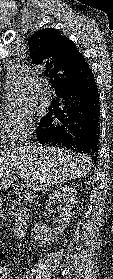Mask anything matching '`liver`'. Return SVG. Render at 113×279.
Segmentation results:
<instances>
[{
	"label": "liver",
	"mask_w": 113,
	"mask_h": 279,
	"mask_svg": "<svg viewBox=\"0 0 113 279\" xmlns=\"http://www.w3.org/2000/svg\"><path fill=\"white\" fill-rule=\"evenodd\" d=\"M93 162L89 156L56 147L32 143L0 149V191L13 184L16 176L34 192L71 179L86 176Z\"/></svg>",
	"instance_id": "1"
}]
</instances>
